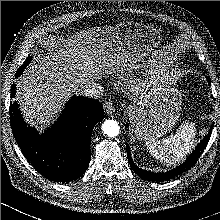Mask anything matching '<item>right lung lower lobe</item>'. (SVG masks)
Masks as SVG:
<instances>
[{"instance_id":"1","label":"right lung lower lobe","mask_w":220,"mask_h":220,"mask_svg":"<svg viewBox=\"0 0 220 220\" xmlns=\"http://www.w3.org/2000/svg\"><path fill=\"white\" fill-rule=\"evenodd\" d=\"M103 118V106L97 100L73 97L57 122L40 135L24 122L17 102H10L12 132L23 155L42 176L55 182H70L85 173L91 159L92 130Z\"/></svg>"}]
</instances>
